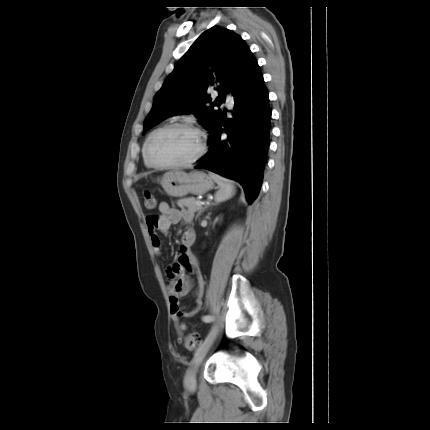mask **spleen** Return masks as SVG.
Wrapping results in <instances>:
<instances>
[{
    "instance_id": "obj_1",
    "label": "spleen",
    "mask_w": 430,
    "mask_h": 430,
    "mask_svg": "<svg viewBox=\"0 0 430 430\" xmlns=\"http://www.w3.org/2000/svg\"><path fill=\"white\" fill-rule=\"evenodd\" d=\"M209 176L219 186V190L215 193V201L217 203L226 201L234 195L235 187L229 179L212 172L209 173Z\"/></svg>"
}]
</instances>
